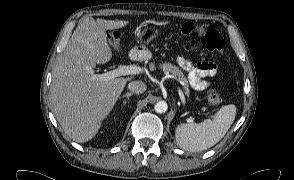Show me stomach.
<instances>
[{"mask_svg":"<svg viewBox=\"0 0 294 180\" xmlns=\"http://www.w3.org/2000/svg\"><path fill=\"white\" fill-rule=\"evenodd\" d=\"M164 33V27L158 23H147L141 25L136 31V42L139 44L132 50L138 54H142L144 51H139L137 48L146 49V46L154 40H157ZM118 43V41H117Z\"/></svg>","mask_w":294,"mask_h":180,"instance_id":"1","label":"stomach"}]
</instances>
